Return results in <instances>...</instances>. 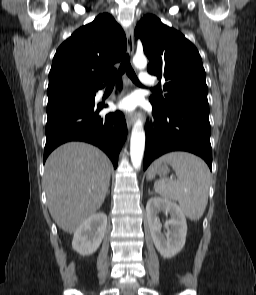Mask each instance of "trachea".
<instances>
[{
  "instance_id": "3493384b",
  "label": "trachea",
  "mask_w": 256,
  "mask_h": 295,
  "mask_svg": "<svg viewBox=\"0 0 256 295\" xmlns=\"http://www.w3.org/2000/svg\"><path fill=\"white\" fill-rule=\"evenodd\" d=\"M124 72H126V74L129 76V78L134 83L142 86V84L139 82L134 70L131 67L128 54L123 58L121 65L119 67V74H123ZM113 84H114V81L111 82V85H113ZM153 90H155V89H153Z\"/></svg>"
}]
</instances>
